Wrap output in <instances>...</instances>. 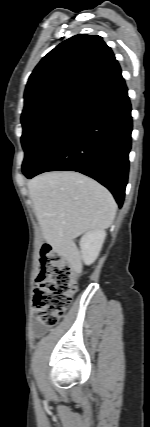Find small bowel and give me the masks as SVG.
<instances>
[{"instance_id": "small-bowel-1", "label": "small bowel", "mask_w": 150, "mask_h": 427, "mask_svg": "<svg viewBox=\"0 0 150 427\" xmlns=\"http://www.w3.org/2000/svg\"><path fill=\"white\" fill-rule=\"evenodd\" d=\"M33 332H34L35 336H40V335H42L45 332V329L42 326H40V325H36L34 327Z\"/></svg>"}]
</instances>
